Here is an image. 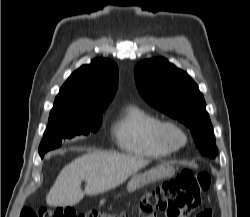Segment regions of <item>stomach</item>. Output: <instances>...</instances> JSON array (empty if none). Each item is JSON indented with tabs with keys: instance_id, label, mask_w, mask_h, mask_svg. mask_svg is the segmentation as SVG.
<instances>
[{
	"instance_id": "1",
	"label": "stomach",
	"mask_w": 250,
	"mask_h": 217,
	"mask_svg": "<svg viewBox=\"0 0 250 217\" xmlns=\"http://www.w3.org/2000/svg\"><path fill=\"white\" fill-rule=\"evenodd\" d=\"M174 173V168L170 164H160L144 173H135L128 183V191L134 192L136 189L169 177Z\"/></svg>"
}]
</instances>
